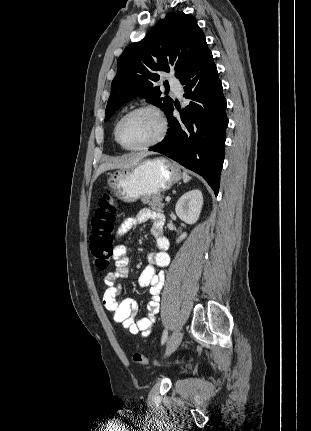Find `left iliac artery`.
Returning <instances> with one entry per match:
<instances>
[{"mask_svg": "<svg viewBox=\"0 0 311 431\" xmlns=\"http://www.w3.org/2000/svg\"><path fill=\"white\" fill-rule=\"evenodd\" d=\"M167 337H168V331H167V329H165L164 332H163V335H162V339H161V344L162 345L166 342Z\"/></svg>", "mask_w": 311, "mask_h": 431, "instance_id": "44dca946", "label": "left iliac artery"}]
</instances>
